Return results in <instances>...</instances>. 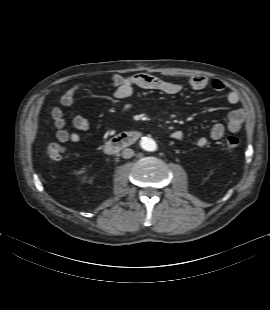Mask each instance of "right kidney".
Returning <instances> with one entry per match:
<instances>
[{
    "mask_svg": "<svg viewBox=\"0 0 270 310\" xmlns=\"http://www.w3.org/2000/svg\"><path fill=\"white\" fill-rule=\"evenodd\" d=\"M85 172V169L81 170V173H84Z\"/></svg>",
    "mask_w": 270,
    "mask_h": 310,
    "instance_id": "right-kidney-1",
    "label": "right kidney"
}]
</instances>
